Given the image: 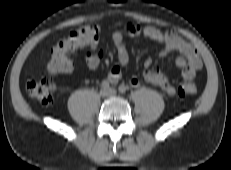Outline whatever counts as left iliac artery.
<instances>
[{
  "mask_svg": "<svg viewBox=\"0 0 231 170\" xmlns=\"http://www.w3.org/2000/svg\"><path fill=\"white\" fill-rule=\"evenodd\" d=\"M118 90H119L120 93L123 94V93L126 92L127 87H126L124 84H122V85H120V86L118 87Z\"/></svg>",
  "mask_w": 231,
  "mask_h": 170,
  "instance_id": "44dca946",
  "label": "left iliac artery"
}]
</instances>
